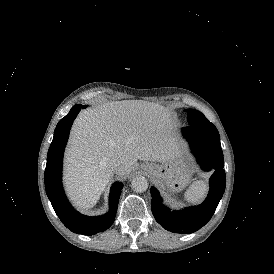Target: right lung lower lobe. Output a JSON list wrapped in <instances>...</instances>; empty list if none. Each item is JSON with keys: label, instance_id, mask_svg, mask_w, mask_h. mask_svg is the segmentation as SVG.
I'll list each match as a JSON object with an SVG mask.
<instances>
[{"label": "right lung lower lobe", "instance_id": "obj_1", "mask_svg": "<svg viewBox=\"0 0 274 274\" xmlns=\"http://www.w3.org/2000/svg\"><path fill=\"white\" fill-rule=\"evenodd\" d=\"M85 107L81 104L74 105L70 112L57 124L47 154L45 188L56 214L68 229L77 234L94 235L105 231L112 225L123 185L120 182L113 184L109 200L110 210L107 214L98 217H87L75 211L64 194L61 184L63 152L73 120L81 108Z\"/></svg>", "mask_w": 274, "mask_h": 274}]
</instances>
